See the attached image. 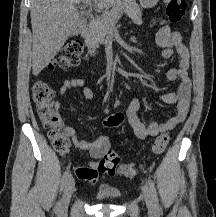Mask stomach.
<instances>
[{
	"label": "stomach",
	"mask_w": 216,
	"mask_h": 217,
	"mask_svg": "<svg viewBox=\"0 0 216 217\" xmlns=\"http://www.w3.org/2000/svg\"><path fill=\"white\" fill-rule=\"evenodd\" d=\"M158 2L159 0H139L141 7L146 9L154 7Z\"/></svg>",
	"instance_id": "stomach-1"
}]
</instances>
